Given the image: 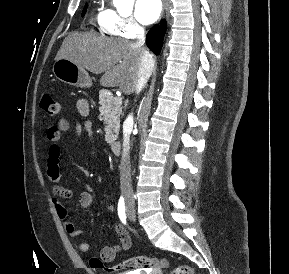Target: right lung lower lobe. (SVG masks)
Returning <instances> with one entry per match:
<instances>
[{"label": "right lung lower lobe", "mask_w": 289, "mask_h": 274, "mask_svg": "<svg viewBox=\"0 0 289 274\" xmlns=\"http://www.w3.org/2000/svg\"><path fill=\"white\" fill-rule=\"evenodd\" d=\"M166 29V24L164 21L161 22V26L156 24L154 25L146 36V44L154 52L156 55L160 53L162 44H163V37Z\"/></svg>", "instance_id": "obj_1"}]
</instances>
